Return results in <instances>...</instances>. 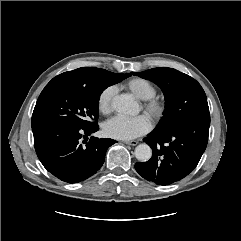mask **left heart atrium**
I'll return each mask as SVG.
<instances>
[{"instance_id":"left-heart-atrium-1","label":"left heart atrium","mask_w":241,"mask_h":241,"mask_svg":"<svg viewBox=\"0 0 241 241\" xmlns=\"http://www.w3.org/2000/svg\"><path fill=\"white\" fill-rule=\"evenodd\" d=\"M151 128V121L146 115L133 118L115 116L104 125V133L111 138L131 140L147 133Z\"/></svg>"}]
</instances>
